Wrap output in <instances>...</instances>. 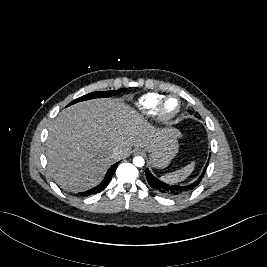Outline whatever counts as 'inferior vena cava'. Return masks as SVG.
<instances>
[{
  "mask_svg": "<svg viewBox=\"0 0 267 267\" xmlns=\"http://www.w3.org/2000/svg\"><path fill=\"white\" fill-rule=\"evenodd\" d=\"M121 150L119 149V148H115L114 150H113V155L114 156H116V157H118L120 154H121Z\"/></svg>",
  "mask_w": 267,
  "mask_h": 267,
  "instance_id": "602c4592",
  "label": "inferior vena cava"
}]
</instances>
